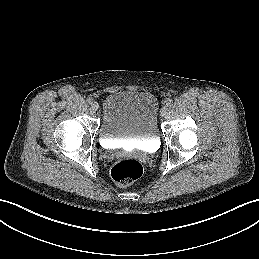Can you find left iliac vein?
<instances>
[{
    "instance_id": "1",
    "label": "left iliac vein",
    "mask_w": 259,
    "mask_h": 259,
    "mask_svg": "<svg viewBox=\"0 0 259 259\" xmlns=\"http://www.w3.org/2000/svg\"><path fill=\"white\" fill-rule=\"evenodd\" d=\"M168 112V108L166 106H164L161 111H160V115L165 117L167 115Z\"/></svg>"
}]
</instances>
